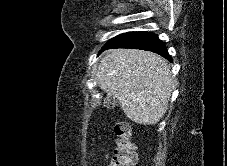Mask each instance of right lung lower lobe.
I'll list each match as a JSON object with an SVG mask.
<instances>
[{
  "mask_svg": "<svg viewBox=\"0 0 227 166\" xmlns=\"http://www.w3.org/2000/svg\"><path fill=\"white\" fill-rule=\"evenodd\" d=\"M112 48H133L148 50L158 53L169 61H172L164 43L158 38L157 35L150 32H130L117 41L105 46L102 51Z\"/></svg>",
  "mask_w": 227,
  "mask_h": 166,
  "instance_id": "1",
  "label": "right lung lower lobe"
}]
</instances>
